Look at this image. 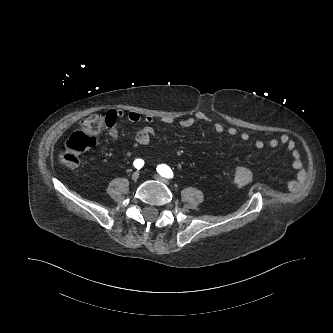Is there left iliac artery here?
<instances>
[{"label": "left iliac artery", "instance_id": "obj_1", "mask_svg": "<svg viewBox=\"0 0 333 333\" xmlns=\"http://www.w3.org/2000/svg\"><path fill=\"white\" fill-rule=\"evenodd\" d=\"M157 172L165 178H173V171L166 164H161L157 166Z\"/></svg>", "mask_w": 333, "mask_h": 333}]
</instances>
